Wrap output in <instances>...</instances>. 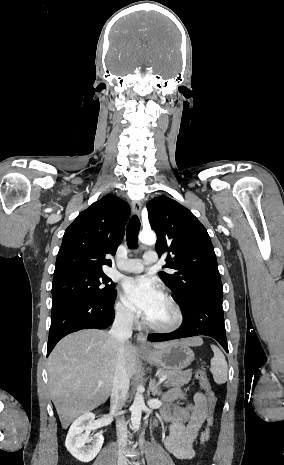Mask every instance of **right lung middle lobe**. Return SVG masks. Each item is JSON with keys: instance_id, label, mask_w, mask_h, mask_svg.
Listing matches in <instances>:
<instances>
[{"instance_id": "right-lung-middle-lobe-1", "label": "right lung middle lobe", "mask_w": 284, "mask_h": 465, "mask_svg": "<svg viewBox=\"0 0 284 465\" xmlns=\"http://www.w3.org/2000/svg\"><path fill=\"white\" fill-rule=\"evenodd\" d=\"M104 273L73 274L53 280L52 308L73 298H107L115 291V284Z\"/></svg>"}]
</instances>
